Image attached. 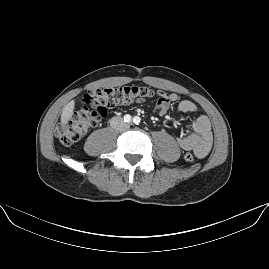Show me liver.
<instances>
[{
    "mask_svg": "<svg viewBox=\"0 0 269 269\" xmlns=\"http://www.w3.org/2000/svg\"><path fill=\"white\" fill-rule=\"evenodd\" d=\"M75 102L74 100H71L63 109L62 114H61V123L62 124H67L69 119L73 115V110H74Z\"/></svg>",
    "mask_w": 269,
    "mask_h": 269,
    "instance_id": "liver-1",
    "label": "liver"
}]
</instances>
